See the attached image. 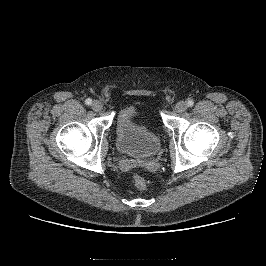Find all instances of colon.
I'll use <instances>...</instances> for the list:
<instances>
[{"instance_id":"colon-1","label":"colon","mask_w":266,"mask_h":266,"mask_svg":"<svg viewBox=\"0 0 266 266\" xmlns=\"http://www.w3.org/2000/svg\"><path fill=\"white\" fill-rule=\"evenodd\" d=\"M133 183L136 186V188L141 190L145 189L148 185L147 179L140 174L133 175Z\"/></svg>"}]
</instances>
